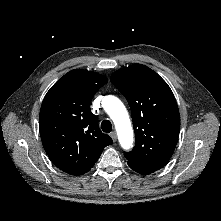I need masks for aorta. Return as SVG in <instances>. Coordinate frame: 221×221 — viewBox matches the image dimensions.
Segmentation results:
<instances>
[{"label":"aorta","instance_id":"762f6f07","mask_svg":"<svg viewBox=\"0 0 221 221\" xmlns=\"http://www.w3.org/2000/svg\"><path fill=\"white\" fill-rule=\"evenodd\" d=\"M102 107L114 122L122 148L125 150L132 148L134 134L129 115L124 104L117 97L108 95L103 98Z\"/></svg>","mask_w":221,"mask_h":221}]
</instances>
